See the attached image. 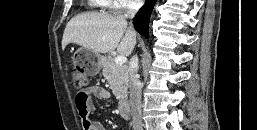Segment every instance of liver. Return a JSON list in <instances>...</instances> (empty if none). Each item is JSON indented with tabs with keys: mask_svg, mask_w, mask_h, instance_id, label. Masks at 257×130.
<instances>
[{
	"mask_svg": "<svg viewBox=\"0 0 257 130\" xmlns=\"http://www.w3.org/2000/svg\"><path fill=\"white\" fill-rule=\"evenodd\" d=\"M69 43L78 44L96 53H110L117 48L119 54L129 56L136 44V33L128 27L123 16L84 13L67 23L62 49Z\"/></svg>",
	"mask_w": 257,
	"mask_h": 130,
	"instance_id": "obj_1",
	"label": "liver"
}]
</instances>
